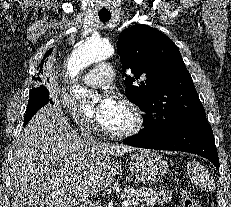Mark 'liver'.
<instances>
[{"label": "liver", "mask_w": 231, "mask_h": 207, "mask_svg": "<svg viewBox=\"0 0 231 207\" xmlns=\"http://www.w3.org/2000/svg\"><path fill=\"white\" fill-rule=\"evenodd\" d=\"M136 148L86 145L63 111L41 108L16 142L11 160L12 207H73L105 190L118 166L111 155Z\"/></svg>", "instance_id": "liver-1"}]
</instances>
